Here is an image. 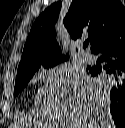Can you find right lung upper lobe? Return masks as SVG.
I'll use <instances>...</instances> for the list:
<instances>
[{
  "instance_id": "1",
  "label": "right lung upper lobe",
  "mask_w": 125,
  "mask_h": 128,
  "mask_svg": "<svg viewBox=\"0 0 125 128\" xmlns=\"http://www.w3.org/2000/svg\"><path fill=\"white\" fill-rule=\"evenodd\" d=\"M61 9V2H55L45 9L31 27L25 43L18 71L30 65L62 56L55 36V23ZM64 25L73 39L88 34L91 50L125 25V7L119 0H73L64 18Z\"/></svg>"
}]
</instances>
